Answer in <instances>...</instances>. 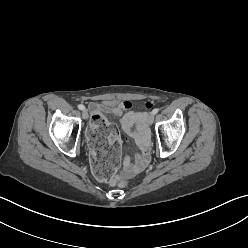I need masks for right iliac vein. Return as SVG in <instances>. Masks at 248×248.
I'll return each mask as SVG.
<instances>
[{
    "mask_svg": "<svg viewBox=\"0 0 248 248\" xmlns=\"http://www.w3.org/2000/svg\"><path fill=\"white\" fill-rule=\"evenodd\" d=\"M82 117L83 119L87 120L88 119V112L86 110H83L82 112Z\"/></svg>",
    "mask_w": 248,
    "mask_h": 248,
    "instance_id": "obj_1",
    "label": "right iliac vein"
}]
</instances>
